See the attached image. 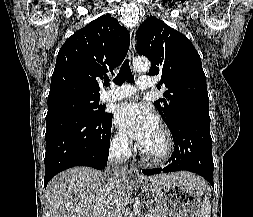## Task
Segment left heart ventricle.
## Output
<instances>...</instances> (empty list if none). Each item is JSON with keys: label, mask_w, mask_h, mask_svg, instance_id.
<instances>
[{"label": "left heart ventricle", "mask_w": 253, "mask_h": 217, "mask_svg": "<svg viewBox=\"0 0 253 217\" xmlns=\"http://www.w3.org/2000/svg\"><path fill=\"white\" fill-rule=\"evenodd\" d=\"M141 147L150 154L161 153L164 149V140L160 131L157 129Z\"/></svg>", "instance_id": "1"}]
</instances>
